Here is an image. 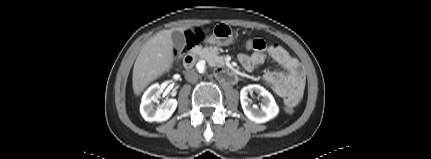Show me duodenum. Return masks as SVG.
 <instances>
[{
	"label": "duodenum",
	"instance_id": "duodenum-1",
	"mask_svg": "<svg viewBox=\"0 0 431 159\" xmlns=\"http://www.w3.org/2000/svg\"><path fill=\"white\" fill-rule=\"evenodd\" d=\"M196 58H197V55L195 52L188 53L183 60L184 67L186 69L191 68L195 64ZM217 75H218V78L226 84L235 83L238 78L236 71L227 66H221L218 69Z\"/></svg>",
	"mask_w": 431,
	"mask_h": 159
}]
</instances>
